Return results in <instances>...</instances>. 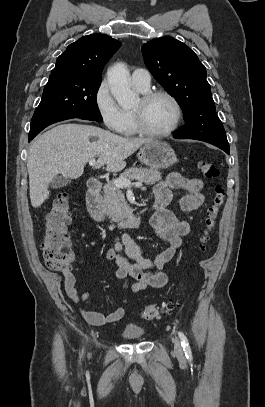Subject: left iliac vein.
Instances as JSON below:
<instances>
[{"label":"left iliac vein","mask_w":265,"mask_h":407,"mask_svg":"<svg viewBox=\"0 0 265 407\" xmlns=\"http://www.w3.org/2000/svg\"><path fill=\"white\" fill-rule=\"evenodd\" d=\"M174 351L179 358H183V350L178 338H173Z\"/></svg>","instance_id":"1"}]
</instances>
